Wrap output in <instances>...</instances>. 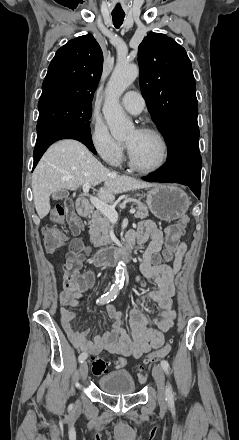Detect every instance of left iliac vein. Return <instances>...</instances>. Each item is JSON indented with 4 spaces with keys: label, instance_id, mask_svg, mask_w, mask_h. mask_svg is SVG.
<instances>
[{
    "label": "left iliac vein",
    "instance_id": "obj_1",
    "mask_svg": "<svg viewBox=\"0 0 239 440\" xmlns=\"http://www.w3.org/2000/svg\"><path fill=\"white\" fill-rule=\"evenodd\" d=\"M152 374L155 379L158 390V402L160 406L165 407L167 404V398L165 393V375L160 366H154Z\"/></svg>",
    "mask_w": 239,
    "mask_h": 440
}]
</instances>
